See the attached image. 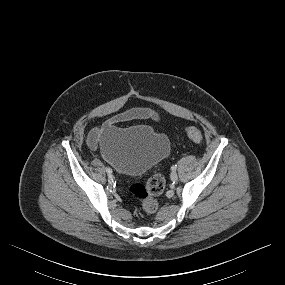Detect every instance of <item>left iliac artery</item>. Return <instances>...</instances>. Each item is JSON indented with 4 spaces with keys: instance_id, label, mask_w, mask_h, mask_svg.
Instances as JSON below:
<instances>
[{
    "instance_id": "44dca946",
    "label": "left iliac artery",
    "mask_w": 285,
    "mask_h": 285,
    "mask_svg": "<svg viewBox=\"0 0 285 285\" xmlns=\"http://www.w3.org/2000/svg\"><path fill=\"white\" fill-rule=\"evenodd\" d=\"M176 168H177V166H176V165H173V166L171 167V170H172V171H175Z\"/></svg>"
}]
</instances>
